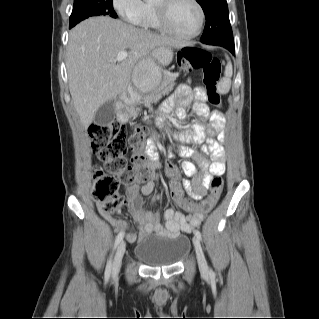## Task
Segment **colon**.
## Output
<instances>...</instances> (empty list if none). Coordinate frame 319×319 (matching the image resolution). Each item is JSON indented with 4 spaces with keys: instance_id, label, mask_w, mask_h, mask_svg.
<instances>
[{
    "instance_id": "5ec220e1",
    "label": "colon",
    "mask_w": 319,
    "mask_h": 319,
    "mask_svg": "<svg viewBox=\"0 0 319 319\" xmlns=\"http://www.w3.org/2000/svg\"><path fill=\"white\" fill-rule=\"evenodd\" d=\"M177 63L184 70H202L206 99L212 105L221 104L217 84L222 68L218 58L206 50L187 46L179 52ZM147 131L146 126L138 125L128 137L124 125L115 121L95 124L89 129L91 148L105 163L104 169H94L93 197L102 203V209L107 214H118L125 208L126 201L119 193L120 184L129 185L138 179H146L151 174L147 157L143 152L149 144ZM129 148L133 150L132 154H129ZM223 185L221 176L214 177L210 182L209 197L197 205L185 199L181 191L175 187L171 189V197L185 209L196 207L200 213L206 214L216 206Z\"/></svg>"
}]
</instances>
